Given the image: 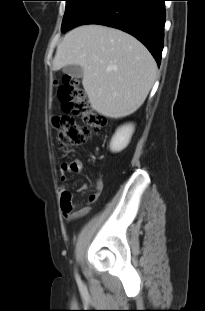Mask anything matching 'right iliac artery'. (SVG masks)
I'll return each mask as SVG.
<instances>
[{
    "label": "right iliac artery",
    "mask_w": 205,
    "mask_h": 311,
    "mask_svg": "<svg viewBox=\"0 0 205 311\" xmlns=\"http://www.w3.org/2000/svg\"><path fill=\"white\" fill-rule=\"evenodd\" d=\"M76 279H77V282L80 283V278L78 275H76Z\"/></svg>",
    "instance_id": "obj_1"
}]
</instances>
